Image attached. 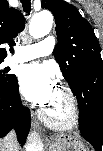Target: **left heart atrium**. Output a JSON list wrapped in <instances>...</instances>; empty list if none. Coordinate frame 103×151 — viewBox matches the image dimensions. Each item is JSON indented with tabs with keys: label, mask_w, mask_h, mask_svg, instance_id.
<instances>
[{
	"label": "left heart atrium",
	"mask_w": 103,
	"mask_h": 151,
	"mask_svg": "<svg viewBox=\"0 0 103 151\" xmlns=\"http://www.w3.org/2000/svg\"><path fill=\"white\" fill-rule=\"evenodd\" d=\"M19 83L24 96L43 109L50 105L57 91L51 69L39 63L24 67Z\"/></svg>",
	"instance_id": "obj_1"
}]
</instances>
